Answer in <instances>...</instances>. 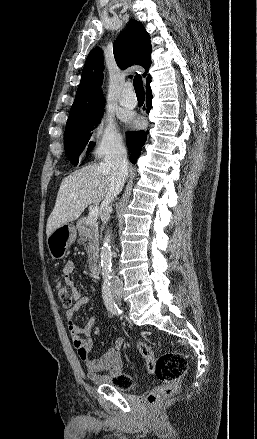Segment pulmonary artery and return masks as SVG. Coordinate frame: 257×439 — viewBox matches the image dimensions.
I'll return each mask as SVG.
<instances>
[{
    "label": "pulmonary artery",
    "instance_id": "1",
    "mask_svg": "<svg viewBox=\"0 0 257 439\" xmlns=\"http://www.w3.org/2000/svg\"><path fill=\"white\" fill-rule=\"evenodd\" d=\"M119 103L126 108H134L137 103L135 94L132 92L131 85H125L119 96Z\"/></svg>",
    "mask_w": 257,
    "mask_h": 439
}]
</instances>
